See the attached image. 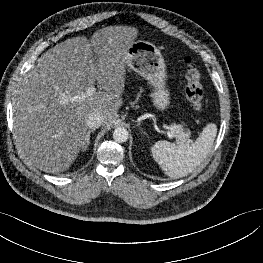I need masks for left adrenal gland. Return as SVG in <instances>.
<instances>
[{
    "mask_svg": "<svg viewBox=\"0 0 263 263\" xmlns=\"http://www.w3.org/2000/svg\"><path fill=\"white\" fill-rule=\"evenodd\" d=\"M141 130H142V128H141ZM142 133L145 134V132H143V130H142Z\"/></svg>",
    "mask_w": 263,
    "mask_h": 263,
    "instance_id": "1",
    "label": "left adrenal gland"
}]
</instances>
